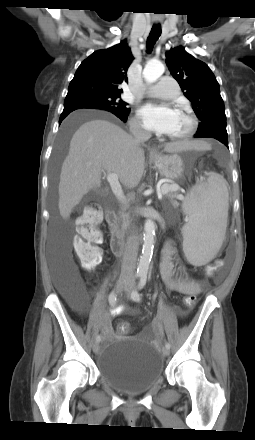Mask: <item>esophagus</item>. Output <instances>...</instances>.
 Wrapping results in <instances>:
<instances>
[{
    "label": "esophagus",
    "instance_id": "34e87169",
    "mask_svg": "<svg viewBox=\"0 0 255 440\" xmlns=\"http://www.w3.org/2000/svg\"><path fill=\"white\" fill-rule=\"evenodd\" d=\"M152 153H153V155H156V151L154 149L152 150Z\"/></svg>",
    "mask_w": 255,
    "mask_h": 440
}]
</instances>
